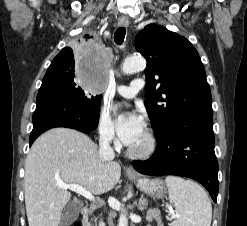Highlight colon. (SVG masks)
<instances>
[{"instance_id":"colon-1","label":"colon","mask_w":247,"mask_h":226,"mask_svg":"<svg viewBox=\"0 0 247 226\" xmlns=\"http://www.w3.org/2000/svg\"><path fill=\"white\" fill-rule=\"evenodd\" d=\"M73 226H80V224L78 222H76Z\"/></svg>"}]
</instances>
